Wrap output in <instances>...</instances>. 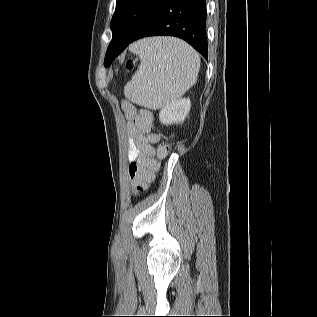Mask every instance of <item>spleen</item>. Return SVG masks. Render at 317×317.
Returning <instances> with one entry per match:
<instances>
[{"label": "spleen", "mask_w": 317, "mask_h": 317, "mask_svg": "<svg viewBox=\"0 0 317 317\" xmlns=\"http://www.w3.org/2000/svg\"><path fill=\"white\" fill-rule=\"evenodd\" d=\"M130 51L141 64L124 87L127 99L149 109L178 100L197 81L200 58L187 43L173 37L137 41Z\"/></svg>", "instance_id": "1"}]
</instances>
